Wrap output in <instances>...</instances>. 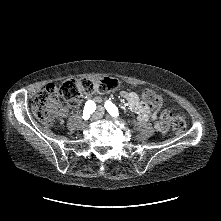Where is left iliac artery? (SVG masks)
Segmentation results:
<instances>
[{
  "label": "left iliac artery",
  "mask_w": 221,
  "mask_h": 221,
  "mask_svg": "<svg viewBox=\"0 0 221 221\" xmlns=\"http://www.w3.org/2000/svg\"><path fill=\"white\" fill-rule=\"evenodd\" d=\"M105 108L113 117L119 116L118 108L111 101L105 102Z\"/></svg>",
  "instance_id": "left-iliac-artery-1"
}]
</instances>
